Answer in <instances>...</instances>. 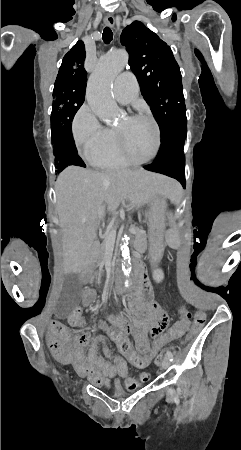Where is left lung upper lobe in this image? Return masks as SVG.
Wrapping results in <instances>:
<instances>
[{
	"label": "left lung upper lobe",
	"instance_id": "1",
	"mask_svg": "<svg viewBox=\"0 0 241 450\" xmlns=\"http://www.w3.org/2000/svg\"><path fill=\"white\" fill-rule=\"evenodd\" d=\"M121 42L163 137L173 126L187 121L180 68L171 48L139 21L123 30Z\"/></svg>",
	"mask_w": 241,
	"mask_h": 450
}]
</instances>
